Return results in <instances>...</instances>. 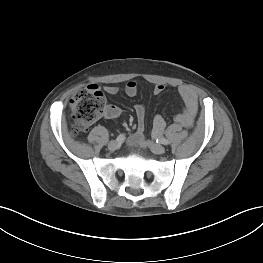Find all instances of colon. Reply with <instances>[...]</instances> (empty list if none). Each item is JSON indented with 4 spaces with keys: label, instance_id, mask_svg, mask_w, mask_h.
<instances>
[{
    "label": "colon",
    "instance_id": "5ec220e1",
    "mask_svg": "<svg viewBox=\"0 0 263 263\" xmlns=\"http://www.w3.org/2000/svg\"><path fill=\"white\" fill-rule=\"evenodd\" d=\"M70 107L75 131L83 132L105 113L107 106L102 91L96 85H91L72 97Z\"/></svg>",
    "mask_w": 263,
    "mask_h": 263
}]
</instances>
